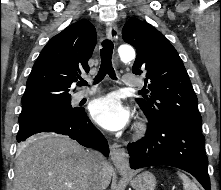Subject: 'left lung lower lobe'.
<instances>
[{
  "label": "left lung lower lobe",
  "mask_w": 221,
  "mask_h": 190,
  "mask_svg": "<svg viewBox=\"0 0 221 190\" xmlns=\"http://www.w3.org/2000/svg\"><path fill=\"white\" fill-rule=\"evenodd\" d=\"M202 133L178 121L161 119L150 121L145 137L128 145L130 167L138 169L155 165H168L192 174L210 190V179Z\"/></svg>",
  "instance_id": "1"
}]
</instances>
